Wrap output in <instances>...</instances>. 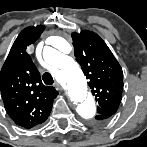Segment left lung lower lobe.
Here are the masks:
<instances>
[{
    "label": "left lung lower lobe",
    "instance_id": "1",
    "mask_svg": "<svg viewBox=\"0 0 147 147\" xmlns=\"http://www.w3.org/2000/svg\"><path fill=\"white\" fill-rule=\"evenodd\" d=\"M110 116H112V115H100V116H98V120H104V119L109 118Z\"/></svg>",
    "mask_w": 147,
    "mask_h": 147
}]
</instances>
